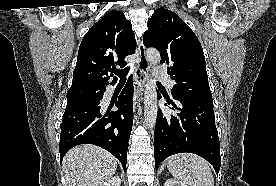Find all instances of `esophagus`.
Masks as SVG:
<instances>
[{"label": "esophagus", "mask_w": 276, "mask_h": 186, "mask_svg": "<svg viewBox=\"0 0 276 186\" xmlns=\"http://www.w3.org/2000/svg\"><path fill=\"white\" fill-rule=\"evenodd\" d=\"M138 67L134 73V99H133V107L134 112H136L137 107L141 101V95L144 91L146 74L149 69V64L145 55V48L142 42L138 45Z\"/></svg>", "instance_id": "esophagus-1"}]
</instances>
